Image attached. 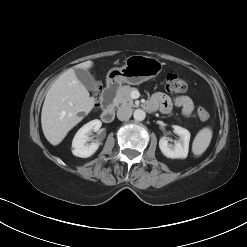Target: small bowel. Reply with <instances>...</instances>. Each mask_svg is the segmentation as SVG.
Wrapping results in <instances>:
<instances>
[{"label":"small bowel","instance_id":"obj_1","mask_svg":"<svg viewBox=\"0 0 247 247\" xmlns=\"http://www.w3.org/2000/svg\"><path fill=\"white\" fill-rule=\"evenodd\" d=\"M150 108H159L162 112H169L173 106L181 108L185 116H190L194 110V103L187 95L171 98L164 93H156L149 102Z\"/></svg>","mask_w":247,"mask_h":247}]
</instances>
